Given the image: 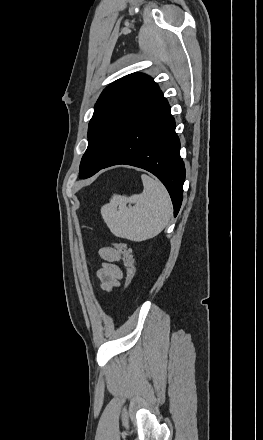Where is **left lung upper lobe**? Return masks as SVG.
Instances as JSON below:
<instances>
[{"mask_svg": "<svg viewBox=\"0 0 263 440\" xmlns=\"http://www.w3.org/2000/svg\"><path fill=\"white\" fill-rule=\"evenodd\" d=\"M158 91L153 79L142 73L124 76L104 89L89 123L80 178L88 177L107 163L136 114Z\"/></svg>", "mask_w": 263, "mask_h": 440, "instance_id": "left-lung-upper-lobe-1", "label": "left lung upper lobe"}]
</instances>
